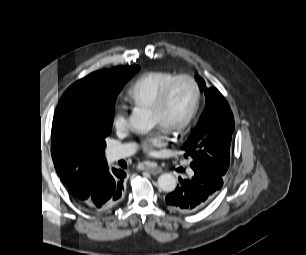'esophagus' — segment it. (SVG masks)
<instances>
[{
  "label": "esophagus",
  "mask_w": 306,
  "mask_h": 255,
  "mask_svg": "<svg viewBox=\"0 0 306 255\" xmlns=\"http://www.w3.org/2000/svg\"><path fill=\"white\" fill-rule=\"evenodd\" d=\"M145 170L153 175H157L162 172V169L160 166H158L156 163H148L145 166Z\"/></svg>",
  "instance_id": "34e87169"
}]
</instances>
